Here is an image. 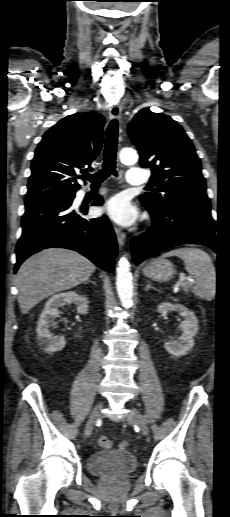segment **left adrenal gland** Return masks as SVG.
Here are the masks:
<instances>
[{"instance_id":"left-adrenal-gland-1","label":"left adrenal gland","mask_w":230,"mask_h":517,"mask_svg":"<svg viewBox=\"0 0 230 517\" xmlns=\"http://www.w3.org/2000/svg\"><path fill=\"white\" fill-rule=\"evenodd\" d=\"M149 289H155L151 286L150 281H147V286L145 287V291H148Z\"/></svg>"}]
</instances>
